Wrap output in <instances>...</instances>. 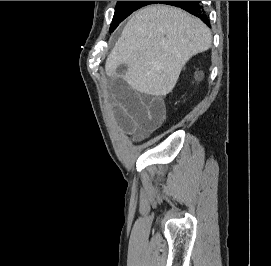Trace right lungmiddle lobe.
Returning a JSON list of instances; mask_svg holds the SVG:
<instances>
[{
	"label": "right lung middle lobe",
	"mask_w": 271,
	"mask_h": 266,
	"mask_svg": "<svg viewBox=\"0 0 271 266\" xmlns=\"http://www.w3.org/2000/svg\"><path fill=\"white\" fill-rule=\"evenodd\" d=\"M158 1H118L115 7L114 17L110 26V32H113L119 23L128 17L135 10Z\"/></svg>",
	"instance_id": "obj_1"
}]
</instances>
